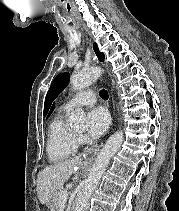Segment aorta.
Wrapping results in <instances>:
<instances>
[{
	"instance_id": "aorta-1",
	"label": "aorta",
	"mask_w": 179,
	"mask_h": 211,
	"mask_svg": "<svg viewBox=\"0 0 179 211\" xmlns=\"http://www.w3.org/2000/svg\"><path fill=\"white\" fill-rule=\"evenodd\" d=\"M103 73L100 67H91L81 70L80 72L73 73L70 78V84L74 90H82L92 83H94ZM70 126L74 129H84L86 127V115L82 108L73 111L69 116ZM124 139L122 131H117L106 141L104 147L92 168L88 178L84 183V187L78 197L75 211H84L92 193L96 189L99 181L109 164L110 159L120 148Z\"/></svg>"
}]
</instances>
